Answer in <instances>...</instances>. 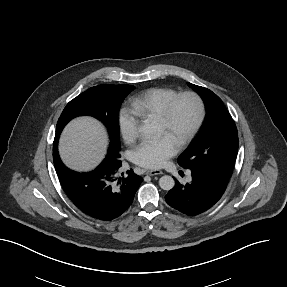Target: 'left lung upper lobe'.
Instances as JSON below:
<instances>
[{
  "instance_id": "5c2ea615",
  "label": "left lung upper lobe",
  "mask_w": 287,
  "mask_h": 287,
  "mask_svg": "<svg viewBox=\"0 0 287 287\" xmlns=\"http://www.w3.org/2000/svg\"><path fill=\"white\" fill-rule=\"evenodd\" d=\"M206 108V120L200 135L178 158L185 169L204 168L230 178L238 151L236 125L222 100L207 88L191 83Z\"/></svg>"
}]
</instances>
